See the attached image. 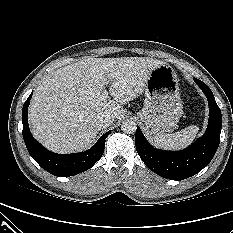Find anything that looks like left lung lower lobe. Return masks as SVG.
Returning a JSON list of instances; mask_svg holds the SVG:
<instances>
[{
	"label": "left lung lower lobe",
	"mask_w": 233,
	"mask_h": 233,
	"mask_svg": "<svg viewBox=\"0 0 233 233\" xmlns=\"http://www.w3.org/2000/svg\"><path fill=\"white\" fill-rule=\"evenodd\" d=\"M204 92L209 104V122L205 134L181 151L155 149L143 136L140 128L135 134L136 150L145 165L161 177L183 180L206 167L215 155L220 143L222 115L210 88L194 78Z\"/></svg>",
	"instance_id": "1"
}]
</instances>
